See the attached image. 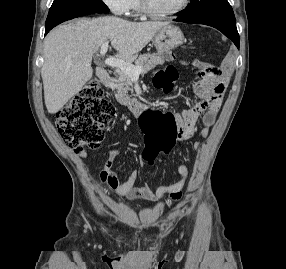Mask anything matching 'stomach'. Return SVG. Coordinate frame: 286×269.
Masks as SVG:
<instances>
[{
    "label": "stomach",
    "mask_w": 286,
    "mask_h": 269,
    "mask_svg": "<svg viewBox=\"0 0 286 269\" xmlns=\"http://www.w3.org/2000/svg\"><path fill=\"white\" fill-rule=\"evenodd\" d=\"M182 31L174 25H166L154 36L153 43L156 49H175L183 43Z\"/></svg>",
    "instance_id": "obj_1"
}]
</instances>
